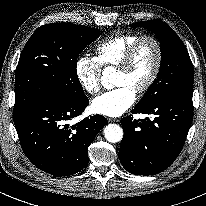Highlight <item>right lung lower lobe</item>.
<instances>
[{"mask_svg": "<svg viewBox=\"0 0 206 206\" xmlns=\"http://www.w3.org/2000/svg\"><path fill=\"white\" fill-rule=\"evenodd\" d=\"M88 104L86 95L76 100L44 97L14 110L21 147L37 168L54 176H68L87 165L88 147L107 120L93 115L72 126L68 121L81 115Z\"/></svg>", "mask_w": 206, "mask_h": 206, "instance_id": "right-lung-lower-lobe-1", "label": "right lung lower lobe"}]
</instances>
